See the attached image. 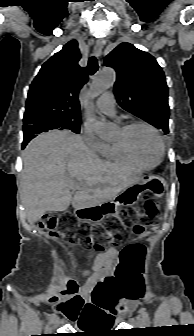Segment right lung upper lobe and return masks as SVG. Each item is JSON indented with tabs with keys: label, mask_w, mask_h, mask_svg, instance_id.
<instances>
[{
	"label": "right lung upper lobe",
	"mask_w": 194,
	"mask_h": 336,
	"mask_svg": "<svg viewBox=\"0 0 194 336\" xmlns=\"http://www.w3.org/2000/svg\"><path fill=\"white\" fill-rule=\"evenodd\" d=\"M79 59L77 42L70 41L43 64L29 88L24 125L42 118L80 121L78 93L88 77ZM37 134H27L23 143Z\"/></svg>",
	"instance_id": "obj_1"
}]
</instances>
